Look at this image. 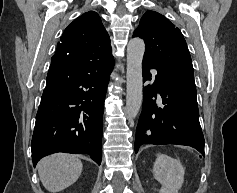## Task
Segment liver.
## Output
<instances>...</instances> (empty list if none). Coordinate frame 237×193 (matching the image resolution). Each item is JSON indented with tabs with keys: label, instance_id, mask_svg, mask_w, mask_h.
Returning <instances> with one entry per match:
<instances>
[{
	"label": "liver",
	"instance_id": "liver-1",
	"mask_svg": "<svg viewBox=\"0 0 237 193\" xmlns=\"http://www.w3.org/2000/svg\"><path fill=\"white\" fill-rule=\"evenodd\" d=\"M37 168L43 186L56 193L78 180L83 165L74 155L57 153L41 159Z\"/></svg>",
	"mask_w": 237,
	"mask_h": 193
}]
</instances>
